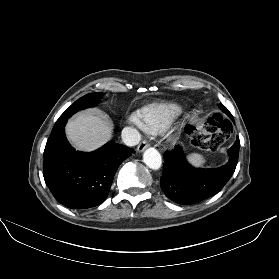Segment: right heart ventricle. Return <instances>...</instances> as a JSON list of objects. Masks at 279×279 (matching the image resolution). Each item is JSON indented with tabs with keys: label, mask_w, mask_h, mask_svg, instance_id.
<instances>
[{
	"label": "right heart ventricle",
	"mask_w": 279,
	"mask_h": 279,
	"mask_svg": "<svg viewBox=\"0 0 279 279\" xmlns=\"http://www.w3.org/2000/svg\"><path fill=\"white\" fill-rule=\"evenodd\" d=\"M176 103H156L144 107L139 112L141 127L148 133L159 134L167 130L183 112Z\"/></svg>",
	"instance_id": "e07e8e85"
}]
</instances>
